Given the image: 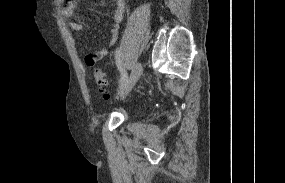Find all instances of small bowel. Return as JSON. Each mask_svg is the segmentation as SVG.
Here are the masks:
<instances>
[{
    "label": "small bowel",
    "instance_id": "c3829d8e",
    "mask_svg": "<svg viewBox=\"0 0 285 183\" xmlns=\"http://www.w3.org/2000/svg\"><path fill=\"white\" fill-rule=\"evenodd\" d=\"M114 10L112 12V24L110 29V40L107 46L101 48L100 50L89 53L85 56V62L89 67H94L101 59L108 56L112 46L116 43L119 35L120 26L122 23L123 15L125 12L126 1L125 0H113ZM64 16L68 19V26L73 31H81L83 25L80 22L73 21L75 15V6L73 4H68L63 10Z\"/></svg>",
    "mask_w": 285,
    "mask_h": 183
}]
</instances>
